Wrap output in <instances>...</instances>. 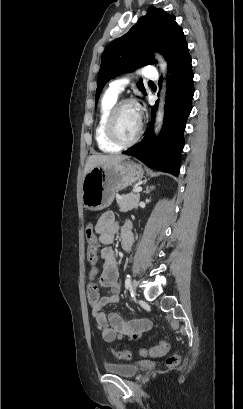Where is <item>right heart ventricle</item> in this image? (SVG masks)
Segmentation results:
<instances>
[{
	"mask_svg": "<svg viewBox=\"0 0 243 409\" xmlns=\"http://www.w3.org/2000/svg\"><path fill=\"white\" fill-rule=\"evenodd\" d=\"M117 100L118 95L107 90L100 102L99 118L95 128V140L98 148L104 153H114L120 150V147L113 144L106 135V120Z\"/></svg>",
	"mask_w": 243,
	"mask_h": 409,
	"instance_id": "right-heart-ventricle-1",
	"label": "right heart ventricle"
}]
</instances>
